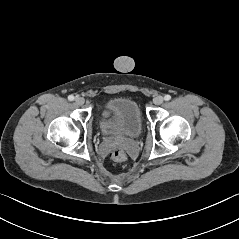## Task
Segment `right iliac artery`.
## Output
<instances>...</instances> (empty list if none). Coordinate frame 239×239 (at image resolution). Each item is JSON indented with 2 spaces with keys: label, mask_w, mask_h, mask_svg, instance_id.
I'll return each mask as SVG.
<instances>
[{
  "label": "right iliac artery",
  "mask_w": 239,
  "mask_h": 239,
  "mask_svg": "<svg viewBox=\"0 0 239 239\" xmlns=\"http://www.w3.org/2000/svg\"><path fill=\"white\" fill-rule=\"evenodd\" d=\"M68 100H69V101H73V100H74V96H73V95H69V96H68Z\"/></svg>",
  "instance_id": "82829eb1"
}]
</instances>
